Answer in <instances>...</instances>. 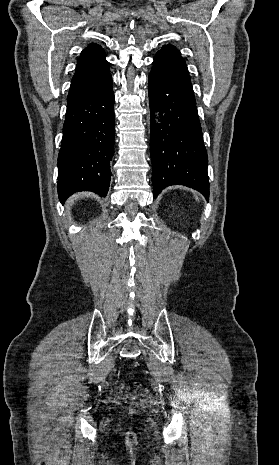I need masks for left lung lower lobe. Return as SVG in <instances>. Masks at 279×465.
I'll return each mask as SVG.
<instances>
[{"instance_id": "1", "label": "left lung lower lobe", "mask_w": 279, "mask_h": 465, "mask_svg": "<svg viewBox=\"0 0 279 465\" xmlns=\"http://www.w3.org/2000/svg\"><path fill=\"white\" fill-rule=\"evenodd\" d=\"M151 110L153 197L169 185H185L209 197L207 153L187 66L156 54L148 78ZM163 116L155 126L154 112Z\"/></svg>"}]
</instances>
